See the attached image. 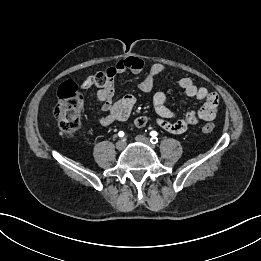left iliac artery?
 <instances>
[{
  "instance_id": "obj_1",
  "label": "left iliac artery",
  "mask_w": 261,
  "mask_h": 261,
  "mask_svg": "<svg viewBox=\"0 0 261 261\" xmlns=\"http://www.w3.org/2000/svg\"><path fill=\"white\" fill-rule=\"evenodd\" d=\"M150 142L153 143V144H156L158 142V138L156 137L157 136V132L156 131H152L150 132Z\"/></svg>"
}]
</instances>
